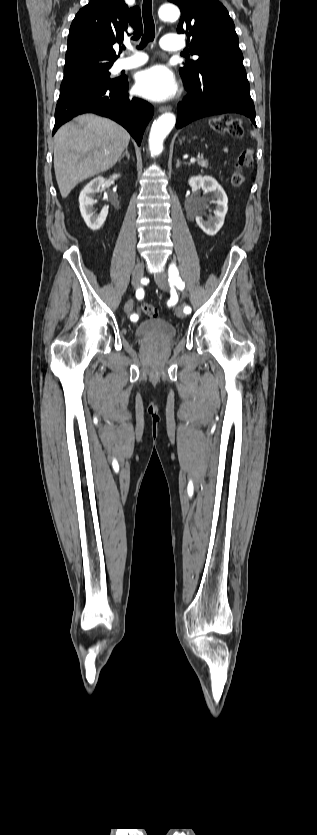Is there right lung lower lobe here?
<instances>
[{"instance_id": "obj_1", "label": "right lung lower lobe", "mask_w": 317, "mask_h": 835, "mask_svg": "<svg viewBox=\"0 0 317 835\" xmlns=\"http://www.w3.org/2000/svg\"><path fill=\"white\" fill-rule=\"evenodd\" d=\"M84 57L66 59V63L72 64ZM128 87L126 78H115L62 90L56 106L52 135L73 117L92 112L121 124L140 145L154 109L145 100L131 98L127 93Z\"/></svg>"}]
</instances>
